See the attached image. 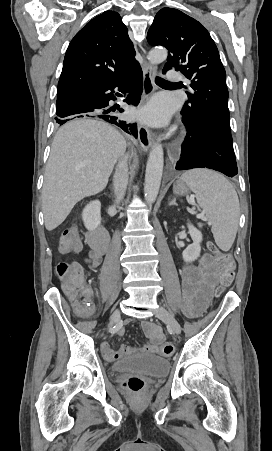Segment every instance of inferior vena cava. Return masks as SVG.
Returning <instances> with one entry per match:
<instances>
[{"label":"inferior vena cava","instance_id":"inferior-vena-cava-1","mask_svg":"<svg viewBox=\"0 0 272 451\" xmlns=\"http://www.w3.org/2000/svg\"><path fill=\"white\" fill-rule=\"evenodd\" d=\"M127 158L128 154H126L122 160H119L114 174L113 186L116 204H119L120 200H122L128 182Z\"/></svg>","mask_w":272,"mask_h":451}]
</instances>
